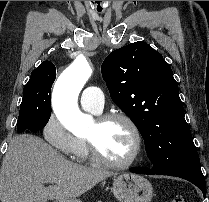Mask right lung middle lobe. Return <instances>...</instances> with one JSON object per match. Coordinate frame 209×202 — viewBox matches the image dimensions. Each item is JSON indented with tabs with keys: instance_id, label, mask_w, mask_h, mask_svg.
Here are the masks:
<instances>
[{
	"instance_id": "obj_1",
	"label": "right lung middle lobe",
	"mask_w": 209,
	"mask_h": 202,
	"mask_svg": "<svg viewBox=\"0 0 209 202\" xmlns=\"http://www.w3.org/2000/svg\"><path fill=\"white\" fill-rule=\"evenodd\" d=\"M54 77H33L23 89L17 131L36 132L44 128L51 116V87Z\"/></svg>"
}]
</instances>
